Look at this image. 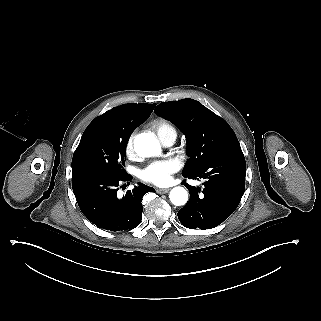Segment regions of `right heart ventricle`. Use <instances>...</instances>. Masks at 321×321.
I'll use <instances>...</instances> for the list:
<instances>
[{
  "label": "right heart ventricle",
  "instance_id": "right-heart-ventricle-1",
  "mask_svg": "<svg viewBox=\"0 0 321 321\" xmlns=\"http://www.w3.org/2000/svg\"><path fill=\"white\" fill-rule=\"evenodd\" d=\"M151 125L157 132L158 136L163 137L164 135L175 132L177 133V130L175 126L167 119L162 117H154L151 119Z\"/></svg>",
  "mask_w": 321,
  "mask_h": 321
}]
</instances>
